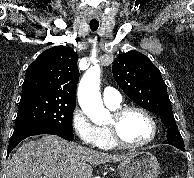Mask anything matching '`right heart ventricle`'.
<instances>
[{
  "label": "right heart ventricle",
  "mask_w": 194,
  "mask_h": 178,
  "mask_svg": "<svg viewBox=\"0 0 194 178\" xmlns=\"http://www.w3.org/2000/svg\"><path fill=\"white\" fill-rule=\"evenodd\" d=\"M110 110L114 111L117 110L120 107V104L118 105H107ZM99 141L97 143V146L104 150H111L117 147V145L112 140L111 134L107 128V126L99 127Z\"/></svg>",
  "instance_id": "1"
}]
</instances>
